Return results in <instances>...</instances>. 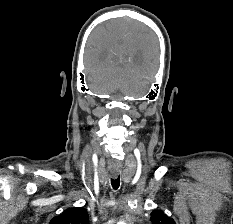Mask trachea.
<instances>
[{
	"mask_svg": "<svg viewBox=\"0 0 233 224\" xmlns=\"http://www.w3.org/2000/svg\"><path fill=\"white\" fill-rule=\"evenodd\" d=\"M111 185H112L114 190H117L120 186V178L117 177L115 179H111Z\"/></svg>",
	"mask_w": 233,
	"mask_h": 224,
	"instance_id": "obj_1",
	"label": "trachea"
}]
</instances>
